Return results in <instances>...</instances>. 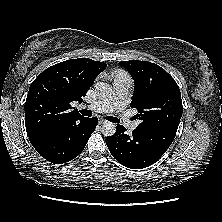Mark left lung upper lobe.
<instances>
[{
    "mask_svg": "<svg viewBox=\"0 0 222 222\" xmlns=\"http://www.w3.org/2000/svg\"><path fill=\"white\" fill-rule=\"evenodd\" d=\"M134 80L131 107L141 120L137 128H163L177 131L183 106L175 80L160 66L148 62L121 61Z\"/></svg>",
    "mask_w": 222,
    "mask_h": 222,
    "instance_id": "left-lung-upper-lobe-1",
    "label": "left lung upper lobe"
}]
</instances>
